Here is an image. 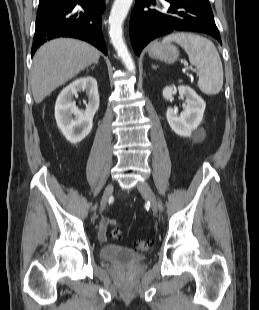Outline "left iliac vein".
Wrapping results in <instances>:
<instances>
[{
    "label": "left iliac vein",
    "mask_w": 259,
    "mask_h": 310,
    "mask_svg": "<svg viewBox=\"0 0 259 310\" xmlns=\"http://www.w3.org/2000/svg\"><path fill=\"white\" fill-rule=\"evenodd\" d=\"M137 189L140 192V194L150 202L152 211L154 213H157L158 211L157 198L150 185L146 181H143L137 185Z\"/></svg>",
    "instance_id": "4c4485c4"
}]
</instances>
